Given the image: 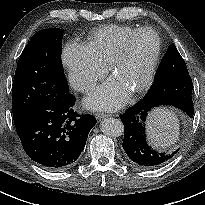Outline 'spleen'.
Segmentation results:
<instances>
[{"mask_svg":"<svg viewBox=\"0 0 205 205\" xmlns=\"http://www.w3.org/2000/svg\"><path fill=\"white\" fill-rule=\"evenodd\" d=\"M148 138L159 149L168 148L179 140V120L177 114L168 109H156L147 120Z\"/></svg>","mask_w":205,"mask_h":205,"instance_id":"3e777b00","label":"spleen"}]
</instances>
